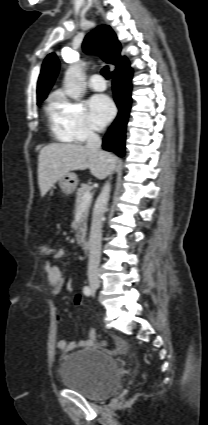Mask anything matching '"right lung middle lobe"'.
<instances>
[{
	"instance_id": "obj_1",
	"label": "right lung middle lobe",
	"mask_w": 208,
	"mask_h": 425,
	"mask_svg": "<svg viewBox=\"0 0 208 425\" xmlns=\"http://www.w3.org/2000/svg\"><path fill=\"white\" fill-rule=\"evenodd\" d=\"M42 101H38L37 104H40Z\"/></svg>"
}]
</instances>
